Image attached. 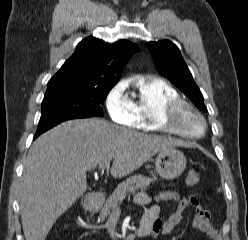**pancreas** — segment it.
I'll return each instance as SVG.
<instances>
[{"instance_id":"pancreas-1","label":"pancreas","mask_w":248,"mask_h":240,"mask_svg":"<svg viewBox=\"0 0 248 240\" xmlns=\"http://www.w3.org/2000/svg\"><path fill=\"white\" fill-rule=\"evenodd\" d=\"M154 179L145 177L142 175H134L129 177L126 181L122 182L114 190L113 194L106 200V203L101 209V219H105L108 215L111 214V211L116 209L126 198L127 193L134 194L137 190H146Z\"/></svg>"}]
</instances>
